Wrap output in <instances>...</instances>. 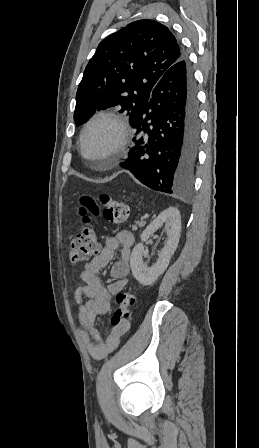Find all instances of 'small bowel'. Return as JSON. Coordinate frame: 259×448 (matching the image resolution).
<instances>
[{
    "mask_svg": "<svg viewBox=\"0 0 259 448\" xmlns=\"http://www.w3.org/2000/svg\"><path fill=\"white\" fill-rule=\"evenodd\" d=\"M134 237L129 231H121L115 236L106 239L99 253L81 270L80 277L84 284L75 291V302L78 305V317L83 330L80 332L90 356L96 360L104 359L119 345L121 337L130 328L126 320L119 326L109 329L103 339L96 327L98 315L110 312L111 296L121 292L127 285L130 272V257ZM119 250V259L110 269L113 282L105 286L99 272L107 266Z\"/></svg>",
    "mask_w": 259,
    "mask_h": 448,
    "instance_id": "obj_1",
    "label": "small bowel"
}]
</instances>
